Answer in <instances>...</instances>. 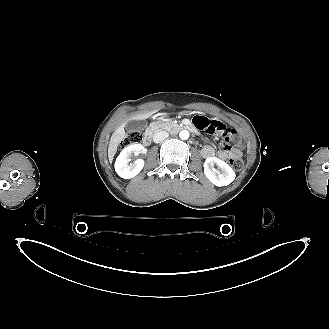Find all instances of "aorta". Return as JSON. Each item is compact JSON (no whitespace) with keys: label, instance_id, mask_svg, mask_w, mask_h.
Instances as JSON below:
<instances>
[{"label":"aorta","instance_id":"aorta-1","mask_svg":"<svg viewBox=\"0 0 329 329\" xmlns=\"http://www.w3.org/2000/svg\"><path fill=\"white\" fill-rule=\"evenodd\" d=\"M179 137L180 139L182 140H187L189 138V132L187 130H182L180 133H179Z\"/></svg>","mask_w":329,"mask_h":329}]
</instances>
